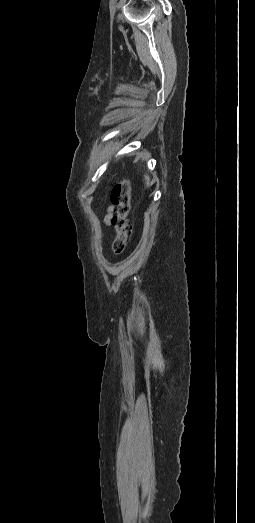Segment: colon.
Here are the masks:
<instances>
[{"label": "colon", "mask_w": 255, "mask_h": 523, "mask_svg": "<svg viewBox=\"0 0 255 523\" xmlns=\"http://www.w3.org/2000/svg\"><path fill=\"white\" fill-rule=\"evenodd\" d=\"M110 198L111 203L115 207L114 214L111 217V224L116 230L112 249L115 254H121L125 250L132 233V226L129 221L132 202L130 181L123 178L117 182L112 189Z\"/></svg>", "instance_id": "obj_1"}]
</instances>
